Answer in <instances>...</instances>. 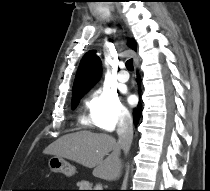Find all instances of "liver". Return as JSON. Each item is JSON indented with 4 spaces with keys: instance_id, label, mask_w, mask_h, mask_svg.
I'll return each mask as SVG.
<instances>
[{
    "instance_id": "liver-1",
    "label": "liver",
    "mask_w": 210,
    "mask_h": 191,
    "mask_svg": "<svg viewBox=\"0 0 210 191\" xmlns=\"http://www.w3.org/2000/svg\"><path fill=\"white\" fill-rule=\"evenodd\" d=\"M120 150L114 137L82 130L60 137L44 153L94 168L95 176L111 181L121 173Z\"/></svg>"
}]
</instances>
